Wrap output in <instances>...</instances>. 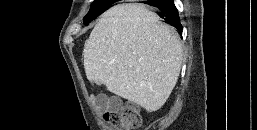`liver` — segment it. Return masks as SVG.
<instances>
[{
    "label": "liver",
    "mask_w": 257,
    "mask_h": 130,
    "mask_svg": "<svg viewBox=\"0 0 257 130\" xmlns=\"http://www.w3.org/2000/svg\"><path fill=\"white\" fill-rule=\"evenodd\" d=\"M88 80L147 112L163 106L183 60L180 37L144 4H118L95 25L84 47Z\"/></svg>",
    "instance_id": "1"
}]
</instances>
